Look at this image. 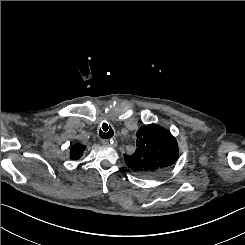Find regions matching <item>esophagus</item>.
Returning a JSON list of instances; mask_svg holds the SVG:
<instances>
[{"label": "esophagus", "instance_id": "obj_1", "mask_svg": "<svg viewBox=\"0 0 245 245\" xmlns=\"http://www.w3.org/2000/svg\"><path fill=\"white\" fill-rule=\"evenodd\" d=\"M101 143H102L103 145H105V146H108V145L111 143V140H109V139H103V140L101 141Z\"/></svg>", "mask_w": 245, "mask_h": 245}]
</instances>
